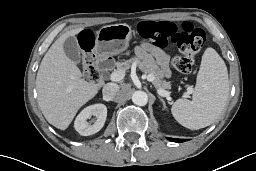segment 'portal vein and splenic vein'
Wrapping results in <instances>:
<instances>
[{
    "label": "portal vein and splenic vein",
    "instance_id": "1",
    "mask_svg": "<svg viewBox=\"0 0 256 171\" xmlns=\"http://www.w3.org/2000/svg\"><path fill=\"white\" fill-rule=\"evenodd\" d=\"M125 77V71L123 70H118V71H114L113 73H111L110 75V79L111 81H114V82H118V81H121L123 78ZM147 80L152 82L154 80V77L151 76V75H148L147 76ZM158 94L163 96V97H166V98H169V92L162 89V88H159L158 90ZM191 89L188 88V91L184 94L185 97H189V95L191 94Z\"/></svg>",
    "mask_w": 256,
    "mask_h": 171
}]
</instances>
